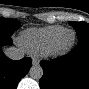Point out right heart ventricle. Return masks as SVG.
Segmentation results:
<instances>
[{
    "label": "right heart ventricle",
    "mask_w": 89,
    "mask_h": 89,
    "mask_svg": "<svg viewBox=\"0 0 89 89\" xmlns=\"http://www.w3.org/2000/svg\"><path fill=\"white\" fill-rule=\"evenodd\" d=\"M64 29L59 25L29 28L21 33L20 43L30 53L45 54L52 39Z\"/></svg>",
    "instance_id": "obj_1"
}]
</instances>
